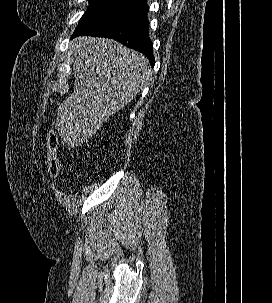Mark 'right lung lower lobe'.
<instances>
[{
	"label": "right lung lower lobe",
	"instance_id": "right-lung-lower-lobe-1",
	"mask_svg": "<svg viewBox=\"0 0 272 303\" xmlns=\"http://www.w3.org/2000/svg\"><path fill=\"white\" fill-rule=\"evenodd\" d=\"M147 9L117 21L105 23L90 31L73 34L112 38L123 45L143 53L154 66V56L149 38Z\"/></svg>",
	"mask_w": 272,
	"mask_h": 303
}]
</instances>
